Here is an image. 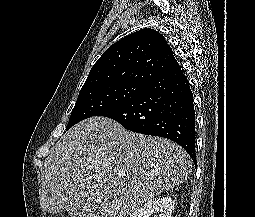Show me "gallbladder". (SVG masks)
Here are the masks:
<instances>
[{
    "label": "gallbladder",
    "mask_w": 255,
    "mask_h": 217,
    "mask_svg": "<svg viewBox=\"0 0 255 217\" xmlns=\"http://www.w3.org/2000/svg\"><path fill=\"white\" fill-rule=\"evenodd\" d=\"M68 215L70 217H84V215L78 210V211H73V210H70L68 212Z\"/></svg>",
    "instance_id": "bac80fb5"
}]
</instances>
